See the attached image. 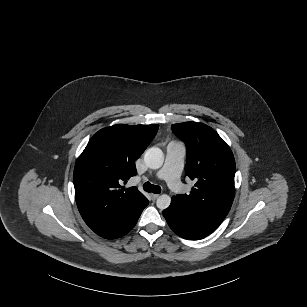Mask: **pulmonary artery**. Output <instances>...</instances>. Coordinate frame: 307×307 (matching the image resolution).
<instances>
[{
    "label": "pulmonary artery",
    "mask_w": 307,
    "mask_h": 307,
    "mask_svg": "<svg viewBox=\"0 0 307 307\" xmlns=\"http://www.w3.org/2000/svg\"><path fill=\"white\" fill-rule=\"evenodd\" d=\"M183 168V148L177 142L168 145L163 167L158 171H149L142 176L146 180L164 182L168 188L176 193H182L187 185L179 177Z\"/></svg>",
    "instance_id": "1"
}]
</instances>
